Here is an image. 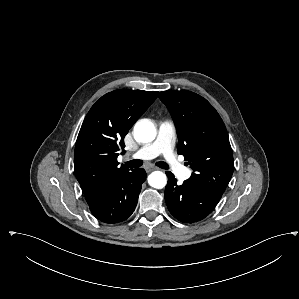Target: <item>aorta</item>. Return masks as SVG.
I'll return each mask as SVG.
<instances>
[{"label": "aorta", "instance_id": "aorta-1", "mask_svg": "<svg viewBox=\"0 0 299 299\" xmlns=\"http://www.w3.org/2000/svg\"><path fill=\"white\" fill-rule=\"evenodd\" d=\"M156 129L152 122L141 120L134 126V138L138 142L148 143L155 139ZM148 183L151 187L162 189L167 183L166 175L161 171H154L148 176Z\"/></svg>", "mask_w": 299, "mask_h": 299}]
</instances>
